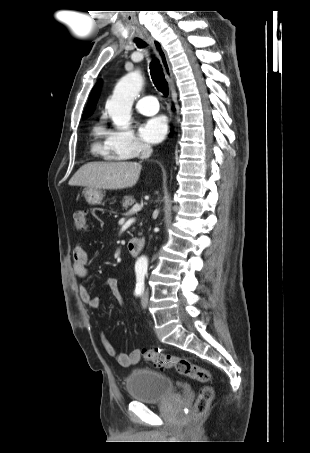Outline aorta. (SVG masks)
<instances>
[{"instance_id": "aorta-1", "label": "aorta", "mask_w": 310, "mask_h": 453, "mask_svg": "<svg viewBox=\"0 0 310 453\" xmlns=\"http://www.w3.org/2000/svg\"><path fill=\"white\" fill-rule=\"evenodd\" d=\"M143 86V77L139 70L125 75L116 84L113 95L106 103V110L117 127L125 126L131 119V109L135 98ZM148 260L145 256L138 258L136 269H147Z\"/></svg>"}]
</instances>
